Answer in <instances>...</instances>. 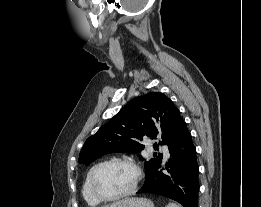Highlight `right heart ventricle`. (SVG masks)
<instances>
[{
    "label": "right heart ventricle",
    "mask_w": 261,
    "mask_h": 207,
    "mask_svg": "<svg viewBox=\"0 0 261 207\" xmlns=\"http://www.w3.org/2000/svg\"><path fill=\"white\" fill-rule=\"evenodd\" d=\"M97 165L98 164H95L89 168V170L87 171V173L85 175L83 185H82V195H83L86 203L93 207L99 205V203H100V201L94 197V195L92 194L91 189H90L91 173Z\"/></svg>",
    "instance_id": "obj_1"
}]
</instances>
